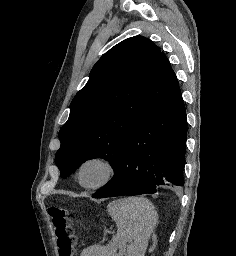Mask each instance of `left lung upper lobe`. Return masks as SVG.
I'll return each mask as SVG.
<instances>
[{"instance_id": "obj_1", "label": "left lung upper lobe", "mask_w": 236, "mask_h": 256, "mask_svg": "<svg viewBox=\"0 0 236 256\" xmlns=\"http://www.w3.org/2000/svg\"><path fill=\"white\" fill-rule=\"evenodd\" d=\"M178 88L168 59L152 41L135 36L115 45L94 65L59 132L55 163L61 177L92 158H104L115 171L137 123Z\"/></svg>"}]
</instances>
